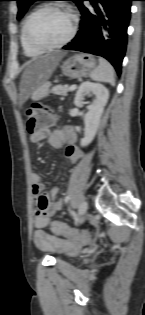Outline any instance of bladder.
<instances>
[{"label": "bladder", "instance_id": "1", "mask_svg": "<svg viewBox=\"0 0 145 315\" xmlns=\"http://www.w3.org/2000/svg\"><path fill=\"white\" fill-rule=\"evenodd\" d=\"M77 253H78V250H74V251L67 253L66 256L67 257H74L75 255H77Z\"/></svg>", "mask_w": 145, "mask_h": 315}]
</instances>
